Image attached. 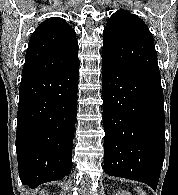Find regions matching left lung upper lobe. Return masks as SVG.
Instances as JSON below:
<instances>
[{"label": "left lung upper lobe", "mask_w": 178, "mask_h": 195, "mask_svg": "<svg viewBox=\"0 0 178 195\" xmlns=\"http://www.w3.org/2000/svg\"><path fill=\"white\" fill-rule=\"evenodd\" d=\"M102 54V58L161 82L154 39L137 15L119 10L109 18Z\"/></svg>", "instance_id": "5c2ea615"}]
</instances>
